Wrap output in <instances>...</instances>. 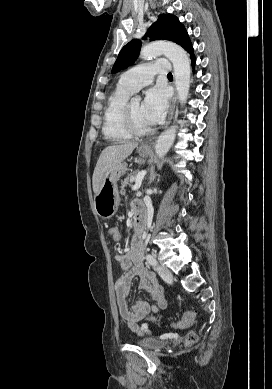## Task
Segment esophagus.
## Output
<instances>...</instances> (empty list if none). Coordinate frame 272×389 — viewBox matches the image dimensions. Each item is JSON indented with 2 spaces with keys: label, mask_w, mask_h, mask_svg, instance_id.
<instances>
[{
  "label": "esophagus",
  "mask_w": 272,
  "mask_h": 389,
  "mask_svg": "<svg viewBox=\"0 0 272 389\" xmlns=\"http://www.w3.org/2000/svg\"><path fill=\"white\" fill-rule=\"evenodd\" d=\"M176 99H177V92H176V90H175L174 95H173V98H172V100H171V102H170V112H169L168 120H167V122H166V124H165V128L170 124V122H171V120H172V118H173ZM151 145H152V142L149 143V144L143 145V147H144V148H148V147H151Z\"/></svg>",
  "instance_id": "obj_1"
}]
</instances>
